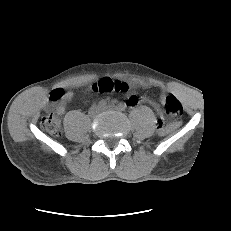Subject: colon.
<instances>
[{
  "label": "colon",
  "mask_w": 231,
  "mask_h": 231,
  "mask_svg": "<svg viewBox=\"0 0 231 231\" xmlns=\"http://www.w3.org/2000/svg\"><path fill=\"white\" fill-rule=\"evenodd\" d=\"M92 90L100 93H107L111 91L126 92L127 86L120 80L102 79L92 85ZM61 97V93L54 91L51 95V101H56ZM165 111L167 115L178 118L182 114V106L180 101L173 94H166L165 96ZM42 127L52 135H59L60 121L54 112H49L41 119ZM158 130L160 133L167 131L162 120L158 121Z\"/></svg>",
  "instance_id": "5ec220e1"
}]
</instances>
